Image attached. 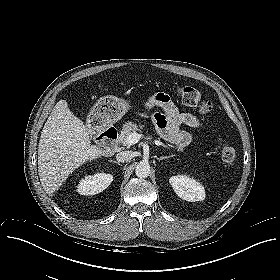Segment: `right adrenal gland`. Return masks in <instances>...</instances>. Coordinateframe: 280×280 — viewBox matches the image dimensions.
<instances>
[{
    "instance_id": "right-adrenal-gland-1",
    "label": "right adrenal gland",
    "mask_w": 280,
    "mask_h": 280,
    "mask_svg": "<svg viewBox=\"0 0 280 280\" xmlns=\"http://www.w3.org/2000/svg\"><path fill=\"white\" fill-rule=\"evenodd\" d=\"M111 162H113V163H116V164H118V165H121L119 162H117V161H111Z\"/></svg>"
}]
</instances>
